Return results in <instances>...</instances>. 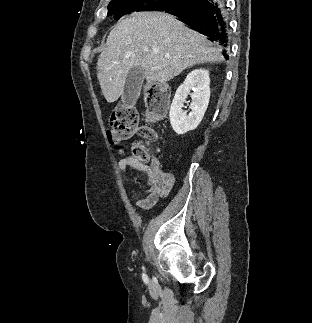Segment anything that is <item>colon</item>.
<instances>
[{
	"label": "colon",
	"instance_id": "obj_1",
	"mask_svg": "<svg viewBox=\"0 0 312 323\" xmlns=\"http://www.w3.org/2000/svg\"><path fill=\"white\" fill-rule=\"evenodd\" d=\"M169 91L163 83L155 82L149 93V121L151 123L159 121L161 115L165 113L167 107V97ZM135 134L142 137V141L135 143L129 153L137 160L146 162L151 158L149 142L157 137L156 131L150 126L139 128L138 112L136 108L129 104H119L110 114V125L107 130V138L111 145H117L127 141ZM156 166V163H153Z\"/></svg>",
	"mask_w": 312,
	"mask_h": 323
}]
</instances>
